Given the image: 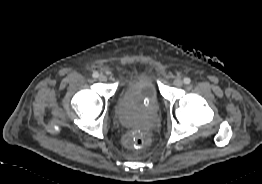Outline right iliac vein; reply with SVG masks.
<instances>
[{"mask_svg":"<svg viewBox=\"0 0 262 184\" xmlns=\"http://www.w3.org/2000/svg\"><path fill=\"white\" fill-rule=\"evenodd\" d=\"M99 81H101V82L107 81V76L104 75V74H101V75L99 76Z\"/></svg>","mask_w":262,"mask_h":184,"instance_id":"obj_1","label":"right iliac vein"}]
</instances>
